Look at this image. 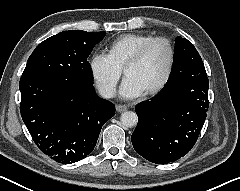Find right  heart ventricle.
I'll return each mask as SVG.
<instances>
[{
	"mask_svg": "<svg viewBox=\"0 0 240 191\" xmlns=\"http://www.w3.org/2000/svg\"><path fill=\"white\" fill-rule=\"evenodd\" d=\"M152 38V35L142 33L122 35L108 45L107 55L119 69L123 70L136 51Z\"/></svg>",
	"mask_w": 240,
	"mask_h": 191,
	"instance_id": "e07e8e85",
	"label": "right heart ventricle"
}]
</instances>
